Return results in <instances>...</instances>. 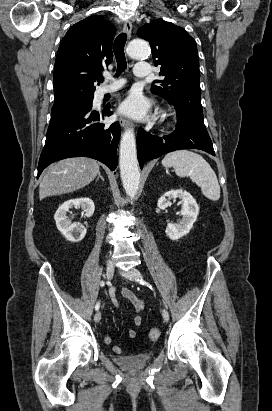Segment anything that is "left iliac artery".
Wrapping results in <instances>:
<instances>
[{"label": "left iliac artery", "mask_w": 272, "mask_h": 411, "mask_svg": "<svg viewBox=\"0 0 272 411\" xmlns=\"http://www.w3.org/2000/svg\"><path fill=\"white\" fill-rule=\"evenodd\" d=\"M137 281H138L140 284H145V281H144L143 279H140V280L138 279Z\"/></svg>", "instance_id": "obj_1"}]
</instances>
